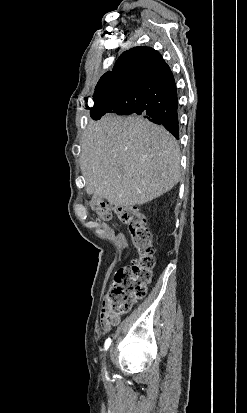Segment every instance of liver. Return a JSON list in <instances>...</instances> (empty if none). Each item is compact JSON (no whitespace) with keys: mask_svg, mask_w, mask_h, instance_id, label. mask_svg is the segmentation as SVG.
<instances>
[{"mask_svg":"<svg viewBox=\"0 0 247 413\" xmlns=\"http://www.w3.org/2000/svg\"><path fill=\"white\" fill-rule=\"evenodd\" d=\"M80 168L88 194L126 209L177 184L180 150L161 124L140 116L105 114L90 120L83 132Z\"/></svg>","mask_w":247,"mask_h":413,"instance_id":"liver-1","label":"liver"}]
</instances>
